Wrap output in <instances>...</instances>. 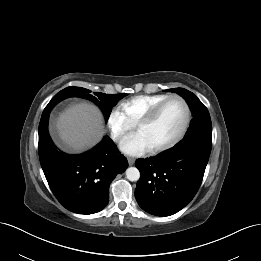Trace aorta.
Here are the masks:
<instances>
[{"mask_svg": "<svg viewBox=\"0 0 261 261\" xmlns=\"http://www.w3.org/2000/svg\"><path fill=\"white\" fill-rule=\"evenodd\" d=\"M125 173L129 181H138L140 178V172L136 167H129Z\"/></svg>", "mask_w": 261, "mask_h": 261, "instance_id": "1", "label": "aorta"}]
</instances>
